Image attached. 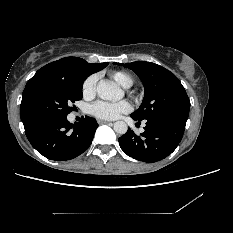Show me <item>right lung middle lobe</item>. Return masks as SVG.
Segmentation results:
<instances>
[{
	"instance_id": "1",
	"label": "right lung middle lobe",
	"mask_w": 233,
	"mask_h": 233,
	"mask_svg": "<svg viewBox=\"0 0 233 233\" xmlns=\"http://www.w3.org/2000/svg\"><path fill=\"white\" fill-rule=\"evenodd\" d=\"M85 79L48 78L38 81L25 102L29 118L38 123L49 118L67 117L74 108L70 107L71 104L83 97Z\"/></svg>"
}]
</instances>
